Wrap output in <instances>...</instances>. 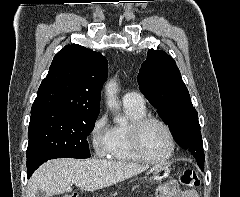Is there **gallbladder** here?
Masks as SVG:
<instances>
[{"label": "gallbladder", "instance_id": "obj_1", "mask_svg": "<svg viewBox=\"0 0 240 197\" xmlns=\"http://www.w3.org/2000/svg\"><path fill=\"white\" fill-rule=\"evenodd\" d=\"M35 197H48V195L42 190H37Z\"/></svg>", "mask_w": 240, "mask_h": 197}]
</instances>
